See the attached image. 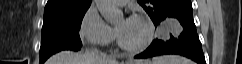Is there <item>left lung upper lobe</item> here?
<instances>
[{
    "label": "left lung upper lobe",
    "instance_id": "left-lung-upper-lobe-1",
    "mask_svg": "<svg viewBox=\"0 0 242 64\" xmlns=\"http://www.w3.org/2000/svg\"><path fill=\"white\" fill-rule=\"evenodd\" d=\"M157 26L172 11L191 5V0H137Z\"/></svg>",
    "mask_w": 242,
    "mask_h": 64
}]
</instances>
